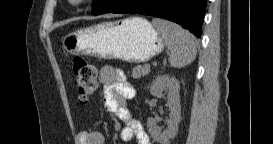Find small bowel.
<instances>
[{
    "mask_svg": "<svg viewBox=\"0 0 273 144\" xmlns=\"http://www.w3.org/2000/svg\"><path fill=\"white\" fill-rule=\"evenodd\" d=\"M99 79L104 86L105 108L122 120L125 124L120 138L124 143L150 144V138L141 123L126 108V104L134 97V91L126 81L122 71L104 66L100 70ZM78 144H105V135L98 130H83L77 134Z\"/></svg>",
    "mask_w": 273,
    "mask_h": 144,
    "instance_id": "obj_1",
    "label": "small bowel"
}]
</instances>
